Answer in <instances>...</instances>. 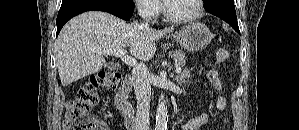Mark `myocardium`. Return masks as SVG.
<instances>
[{
  "label": "myocardium",
  "instance_id": "obj_1",
  "mask_svg": "<svg viewBox=\"0 0 299 130\" xmlns=\"http://www.w3.org/2000/svg\"><path fill=\"white\" fill-rule=\"evenodd\" d=\"M168 2L169 1L163 2V14L167 20L175 22V23H187V22L194 21L195 19H197L199 17V15L201 14L202 9H203V1L195 0V9L193 12H191L187 15H183V16H174V15L170 14V12L168 10Z\"/></svg>",
  "mask_w": 299,
  "mask_h": 130
}]
</instances>
